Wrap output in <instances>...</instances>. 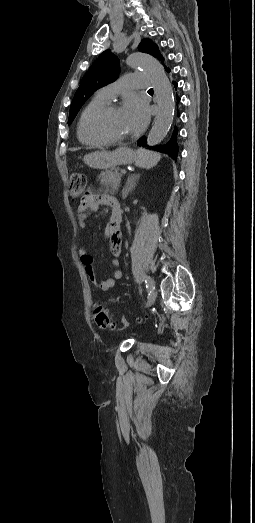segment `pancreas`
I'll return each mask as SVG.
<instances>
[{
  "label": "pancreas",
  "instance_id": "1",
  "mask_svg": "<svg viewBox=\"0 0 255 523\" xmlns=\"http://www.w3.org/2000/svg\"><path fill=\"white\" fill-rule=\"evenodd\" d=\"M122 176V174H119V170H107V172H102V174H99L98 178L102 186H107L106 192L115 194L119 188Z\"/></svg>",
  "mask_w": 255,
  "mask_h": 523
}]
</instances>
